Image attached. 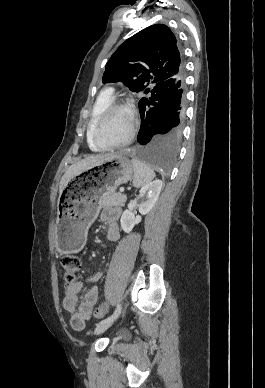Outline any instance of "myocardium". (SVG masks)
Returning <instances> with one entry per match:
<instances>
[{"label":"myocardium","instance_id":"myocardium-1","mask_svg":"<svg viewBox=\"0 0 265 388\" xmlns=\"http://www.w3.org/2000/svg\"><path fill=\"white\" fill-rule=\"evenodd\" d=\"M113 110H121V111L127 112L130 116V127H129L127 134L121 140H119L118 142H115V143H106V142L102 141L99 137V126H100L102 120L104 119V117L110 111H113ZM135 133H136V125H135V122L133 120L130 108L125 104L113 103V102L108 104L107 106H105L102 109V111L100 112V114L96 118V120L93 124V129H92V136H93V140H94L95 144L100 146V147H103V148H112V149L120 148V147H123L126 144H128L133 139Z\"/></svg>","mask_w":265,"mask_h":388}]
</instances>
